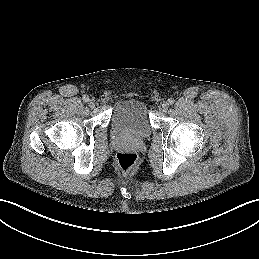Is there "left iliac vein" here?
Here are the masks:
<instances>
[{"label":"left iliac vein","mask_w":259,"mask_h":259,"mask_svg":"<svg viewBox=\"0 0 259 259\" xmlns=\"http://www.w3.org/2000/svg\"><path fill=\"white\" fill-rule=\"evenodd\" d=\"M168 108H169V103H168V102H164V103L162 104L161 110H162L163 112H167Z\"/></svg>","instance_id":"obj_1"}]
</instances>
